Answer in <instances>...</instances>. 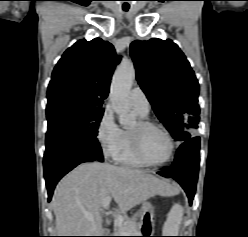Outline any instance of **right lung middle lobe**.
Here are the masks:
<instances>
[{"label":"right lung middle lobe","instance_id":"right-lung-middle-lobe-1","mask_svg":"<svg viewBox=\"0 0 248 237\" xmlns=\"http://www.w3.org/2000/svg\"><path fill=\"white\" fill-rule=\"evenodd\" d=\"M104 109L102 104L73 98L49 101L46 107L48 133L63 132L97 137Z\"/></svg>","mask_w":248,"mask_h":237}]
</instances>
